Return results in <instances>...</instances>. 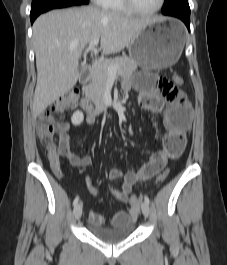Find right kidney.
Here are the masks:
<instances>
[{"label":"right kidney","instance_id":"right-kidney-1","mask_svg":"<svg viewBox=\"0 0 227 265\" xmlns=\"http://www.w3.org/2000/svg\"><path fill=\"white\" fill-rule=\"evenodd\" d=\"M83 120H84V115L81 111H76L71 117V121L75 126L80 125L83 122Z\"/></svg>","mask_w":227,"mask_h":265}]
</instances>
